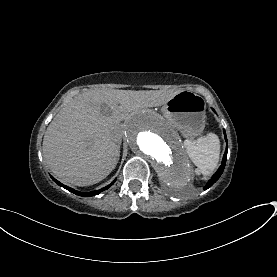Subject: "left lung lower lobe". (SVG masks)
Wrapping results in <instances>:
<instances>
[{
	"label": "left lung lower lobe",
	"instance_id": "1",
	"mask_svg": "<svg viewBox=\"0 0 277 277\" xmlns=\"http://www.w3.org/2000/svg\"><path fill=\"white\" fill-rule=\"evenodd\" d=\"M225 134V140L227 141V137H226V133L224 131ZM228 148V146L226 147V149ZM226 158H227V150L225 151V154L223 156V160H222V164L219 167V169L217 170V172L212 176L211 180H209V182L207 183V185L204 187V190L208 189L209 187H211L221 176V174L224 171L225 168V164H226Z\"/></svg>",
	"mask_w": 277,
	"mask_h": 277
}]
</instances>
